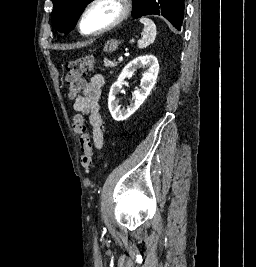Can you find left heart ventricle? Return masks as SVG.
<instances>
[{"label": "left heart ventricle", "mask_w": 256, "mask_h": 267, "mask_svg": "<svg viewBox=\"0 0 256 267\" xmlns=\"http://www.w3.org/2000/svg\"><path fill=\"white\" fill-rule=\"evenodd\" d=\"M118 15V10L111 4H101L91 9L83 19V30L97 32L107 27Z\"/></svg>", "instance_id": "1"}]
</instances>
